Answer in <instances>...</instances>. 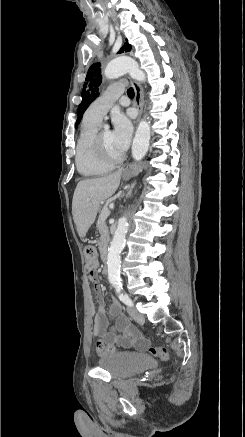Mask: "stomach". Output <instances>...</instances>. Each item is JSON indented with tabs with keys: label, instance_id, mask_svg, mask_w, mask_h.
Returning <instances> with one entry per match:
<instances>
[{
	"label": "stomach",
	"instance_id": "1",
	"mask_svg": "<svg viewBox=\"0 0 245 437\" xmlns=\"http://www.w3.org/2000/svg\"><path fill=\"white\" fill-rule=\"evenodd\" d=\"M140 169L138 167H130L123 173V179L128 180L139 173Z\"/></svg>",
	"mask_w": 245,
	"mask_h": 437
}]
</instances>
